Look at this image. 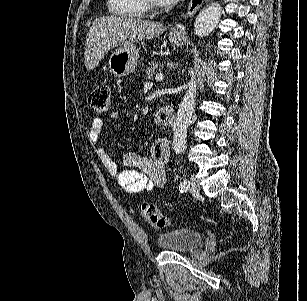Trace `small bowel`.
I'll return each mask as SVG.
<instances>
[{
	"instance_id": "c3829d8e",
	"label": "small bowel",
	"mask_w": 307,
	"mask_h": 301,
	"mask_svg": "<svg viewBox=\"0 0 307 301\" xmlns=\"http://www.w3.org/2000/svg\"><path fill=\"white\" fill-rule=\"evenodd\" d=\"M121 112L113 109L109 112L110 118H118ZM104 127L102 118L92 120L88 137L93 143L100 139ZM97 156L106 171L117 185L129 194L152 191L162 188L166 182L165 166L169 160V144L161 139L154 143L151 158L137 152H128L124 155V163L130 169L119 170L117 164L111 159L107 151L99 147Z\"/></svg>"
}]
</instances>
